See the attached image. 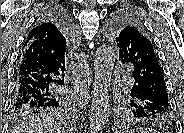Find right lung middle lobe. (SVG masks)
<instances>
[{
    "mask_svg": "<svg viewBox=\"0 0 184 133\" xmlns=\"http://www.w3.org/2000/svg\"><path fill=\"white\" fill-rule=\"evenodd\" d=\"M64 99L61 97L49 102L46 105H22L13 103V112L15 116H25L37 111H46L49 113H58L64 108Z\"/></svg>",
    "mask_w": 184,
    "mask_h": 133,
    "instance_id": "obj_1",
    "label": "right lung middle lobe"
}]
</instances>
